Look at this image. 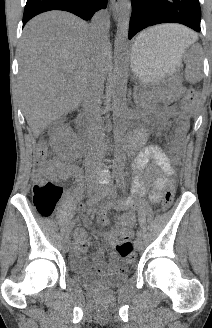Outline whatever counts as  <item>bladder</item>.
I'll return each instance as SVG.
<instances>
[{"mask_svg": "<svg viewBox=\"0 0 212 328\" xmlns=\"http://www.w3.org/2000/svg\"><path fill=\"white\" fill-rule=\"evenodd\" d=\"M70 269L74 280L88 288L111 289L122 285L128 279V274L120 271L102 276L91 273L85 257H74L70 262Z\"/></svg>", "mask_w": 212, "mask_h": 328, "instance_id": "bladder-1", "label": "bladder"}]
</instances>
